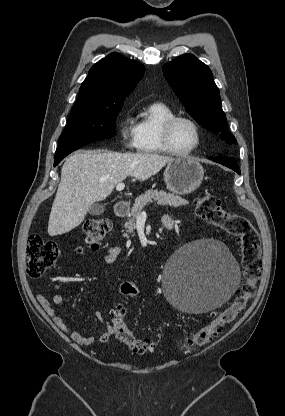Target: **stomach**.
Instances as JSON below:
<instances>
[{"instance_id": "0dacf381", "label": "stomach", "mask_w": 285, "mask_h": 416, "mask_svg": "<svg viewBox=\"0 0 285 416\" xmlns=\"http://www.w3.org/2000/svg\"><path fill=\"white\" fill-rule=\"evenodd\" d=\"M204 170L194 158H176L167 164L164 182L173 194H191L202 184Z\"/></svg>"}]
</instances>
